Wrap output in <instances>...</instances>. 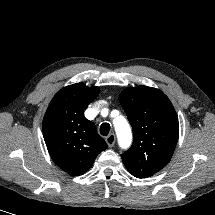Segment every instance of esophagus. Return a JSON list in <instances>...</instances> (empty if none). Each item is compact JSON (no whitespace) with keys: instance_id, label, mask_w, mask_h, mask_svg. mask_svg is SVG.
Instances as JSON below:
<instances>
[{"instance_id":"34e87169","label":"esophagus","mask_w":215,"mask_h":215,"mask_svg":"<svg viewBox=\"0 0 215 215\" xmlns=\"http://www.w3.org/2000/svg\"><path fill=\"white\" fill-rule=\"evenodd\" d=\"M115 140H116V137H115V135L113 133L109 134L106 137V143L108 144L109 147H113L114 146Z\"/></svg>"}]
</instances>
